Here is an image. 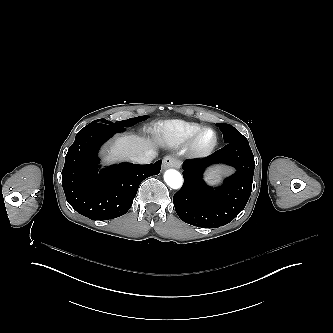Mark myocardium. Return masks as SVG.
<instances>
[{
    "instance_id": "1",
    "label": "myocardium",
    "mask_w": 333,
    "mask_h": 333,
    "mask_svg": "<svg viewBox=\"0 0 333 333\" xmlns=\"http://www.w3.org/2000/svg\"><path fill=\"white\" fill-rule=\"evenodd\" d=\"M205 131H211L213 133L214 139L213 142L207 147H199L198 140L201 134ZM218 144V135L217 132L211 127H201L195 131L186 144V152L189 157L195 159H203L208 157L213 153Z\"/></svg>"
}]
</instances>
